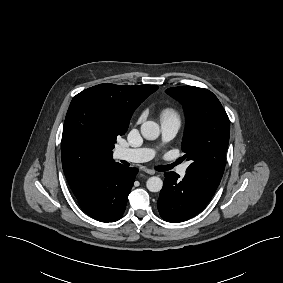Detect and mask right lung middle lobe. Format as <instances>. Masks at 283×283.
Masks as SVG:
<instances>
[{
    "label": "right lung middle lobe",
    "mask_w": 283,
    "mask_h": 283,
    "mask_svg": "<svg viewBox=\"0 0 283 283\" xmlns=\"http://www.w3.org/2000/svg\"><path fill=\"white\" fill-rule=\"evenodd\" d=\"M131 115L115 102L98 101L81 92L73 98L64 124L87 148L112 151L117 137L127 131Z\"/></svg>",
    "instance_id": "dd1d6c3e"
}]
</instances>
